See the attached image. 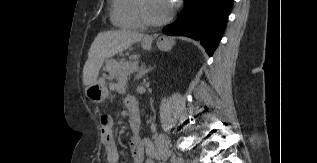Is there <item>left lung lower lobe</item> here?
Here are the masks:
<instances>
[{
    "mask_svg": "<svg viewBox=\"0 0 317 163\" xmlns=\"http://www.w3.org/2000/svg\"><path fill=\"white\" fill-rule=\"evenodd\" d=\"M233 0H187L177 20L163 33L200 40L209 56L216 50L228 21Z\"/></svg>",
    "mask_w": 317,
    "mask_h": 163,
    "instance_id": "1",
    "label": "left lung lower lobe"
}]
</instances>
